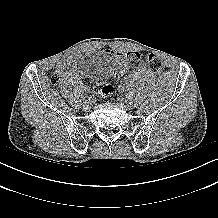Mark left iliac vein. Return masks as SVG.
Masks as SVG:
<instances>
[{"instance_id":"obj_1","label":"left iliac vein","mask_w":218,"mask_h":218,"mask_svg":"<svg viewBox=\"0 0 218 218\" xmlns=\"http://www.w3.org/2000/svg\"><path fill=\"white\" fill-rule=\"evenodd\" d=\"M121 103H122V105L124 106V107H130L131 106V101L129 100V99H127V98H122L121 99Z\"/></svg>"}]
</instances>
